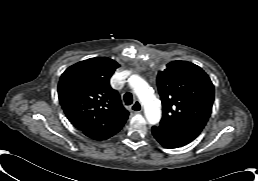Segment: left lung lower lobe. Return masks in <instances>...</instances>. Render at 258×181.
I'll list each match as a JSON object with an SVG mask.
<instances>
[{"mask_svg":"<svg viewBox=\"0 0 258 181\" xmlns=\"http://www.w3.org/2000/svg\"><path fill=\"white\" fill-rule=\"evenodd\" d=\"M152 134L155 139L166 148H178L188 144L197 136L159 125L152 127Z\"/></svg>","mask_w":258,"mask_h":181,"instance_id":"0a47b994","label":"left lung lower lobe"}]
</instances>
